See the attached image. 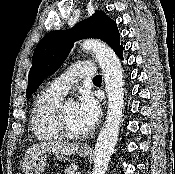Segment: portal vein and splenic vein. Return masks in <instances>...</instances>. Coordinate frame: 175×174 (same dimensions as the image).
Returning <instances> with one entry per match:
<instances>
[{"label":"portal vein and splenic vein","mask_w":175,"mask_h":174,"mask_svg":"<svg viewBox=\"0 0 175 174\" xmlns=\"http://www.w3.org/2000/svg\"><path fill=\"white\" fill-rule=\"evenodd\" d=\"M76 174H81L80 172H76Z\"/></svg>","instance_id":"obj_1"}]
</instances>
